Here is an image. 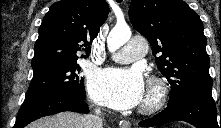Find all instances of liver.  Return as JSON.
Here are the masks:
<instances>
[{"mask_svg":"<svg viewBox=\"0 0 221 128\" xmlns=\"http://www.w3.org/2000/svg\"><path fill=\"white\" fill-rule=\"evenodd\" d=\"M84 117L74 112H60L53 116L41 118L27 128H85Z\"/></svg>","mask_w":221,"mask_h":128,"instance_id":"obj_1","label":"liver"}]
</instances>
